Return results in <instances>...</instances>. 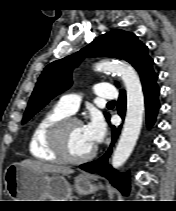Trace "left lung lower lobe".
<instances>
[{
  "instance_id": "left-lung-lower-lobe-1",
  "label": "left lung lower lobe",
  "mask_w": 176,
  "mask_h": 211,
  "mask_svg": "<svg viewBox=\"0 0 176 211\" xmlns=\"http://www.w3.org/2000/svg\"><path fill=\"white\" fill-rule=\"evenodd\" d=\"M158 75H154L150 79H147L142 82L144 96H145V106H146V116H147V125L150 127L153 125L158 109H159V93L160 88L158 87L156 80ZM118 114L124 118L125 109H126V95L125 91H120V97L118 99ZM109 119V118H108ZM120 132V127L116 129L112 126V144L113 146L118 134ZM111 147L106 152L104 156L98 160L83 164L80 166L81 169L91 172L99 173L100 175L108 178L113 186L118 188L124 195H128L130 189L129 183V174H118L111 167H107V160L111 153Z\"/></svg>"
}]
</instances>
